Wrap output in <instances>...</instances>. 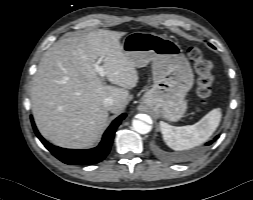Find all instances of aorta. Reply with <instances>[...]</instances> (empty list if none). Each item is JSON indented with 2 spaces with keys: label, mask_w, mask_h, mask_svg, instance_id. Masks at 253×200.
Wrapping results in <instances>:
<instances>
[{
  "label": "aorta",
  "mask_w": 253,
  "mask_h": 200,
  "mask_svg": "<svg viewBox=\"0 0 253 200\" xmlns=\"http://www.w3.org/2000/svg\"><path fill=\"white\" fill-rule=\"evenodd\" d=\"M132 126L133 129L140 134H146L151 131V126L140 120H133Z\"/></svg>",
  "instance_id": "1"
}]
</instances>
